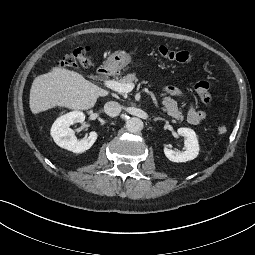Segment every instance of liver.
Masks as SVG:
<instances>
[{
  "label": "liver",
  "instance_id": "6515ba94",
  "mask_svg": "<svg viewBox=\"0 0 255 255\" xmlns=\"http://www.w3.org/2000/svg\"><path fill=\"white\" fill-rule=\"evenodd\" d=\"M109 92L86 80L81 74L61 67L37 76L30 89L29 107L33 114L55 107L88 110Z\"/></svg>",
  "mask_w": 255,
  "mask_h": 255
}]
</instances>
